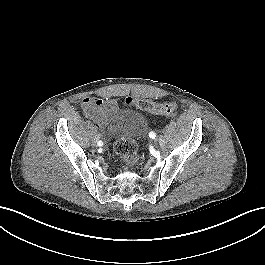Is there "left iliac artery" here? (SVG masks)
Returning <instances> with one entry per match:
<instances>
[{"label": "left iliac artery", "instance_id": "left-iliac-artery-1", "mask_svg": "<svg viewBox=\"0 0 265 265\" xmlns=\"http://www.w3.org/2000/svg\"><path fill=\"white\" fill-rule=\"evenodd\" d=\"M149 137L152 138V139H154L156 137V134L154 132H150L149 133Z\"/></svg>", "mask_w": 265, "mask_h": 265}]
</instances>
